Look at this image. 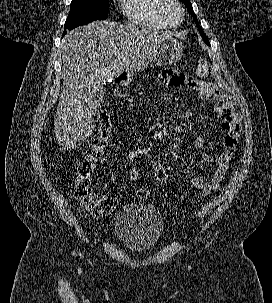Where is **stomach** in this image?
I'll list each match as a JSON object with an SVG mask.
<instances>
[{
  "label": "stomach",
  "mask_w": 272,
  "mask_h": 303,
  "mask_svg": "<svg viewBox=\"0 0 272 303\" xmlns=\"http://www.w3.org/2000/svg\"><path fill=\"white\" fill-rule=\"evenodd\" d=\"M183 54V45L177 39L171 37L160 43L154 61L159 66H168L178 62Z\"/></svg>",
  "instance_id": "obj_1"
}]
</instances>
